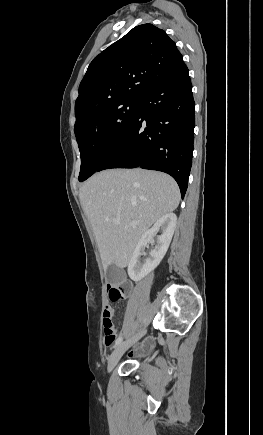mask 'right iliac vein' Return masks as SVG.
Segmentation results:
<instances>
[{
	"label": "right iliac vein",
	"mask_w": 263,
	"mask_h": 435,
	"mask_svg": "<svg viewBox=\"0 0 263 435\" xmlns=\"http://www.w3.org/2000/svg\"><path fill=\"white\" fill-rule=\"evenodd\" d=\"M146 333L145 330L139 332L132 338L128 339L127 341L119 344L117 348L112 352V354L109 357L107 370L108 372H111L114 367L117 365L118 361L122 357V355L128 350L134 343H136L144 334Z\"/></svg>",
	"instance_id": "63e3f726"
}]
</instances>
